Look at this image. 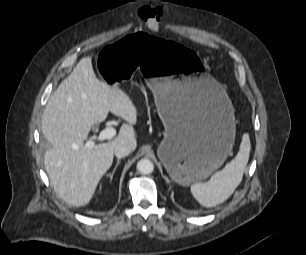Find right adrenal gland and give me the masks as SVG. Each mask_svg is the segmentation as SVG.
<instances>
[{
    "mask_svg": "<svg viewBox=\"0 0 306 255\" xmlns=\"http://www.w3.org/2000/svg\"><path fill=\"white\" fill-rule=\"evenodd\" d=\"M119 164H120V160L117 161V163H116V165H115V167H114V169H113V172L110 174V179L113 178V175H114V173H115V171H116V169H117V167H118Z\"/></svg>",
    "mask_w": 306,
    "mask_h": 255,
    "instance_id": "2a0ac1e0",
    "label": "right adrenal gland"
}]
</instances>
